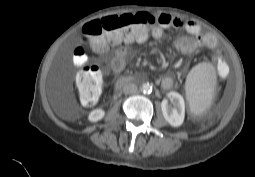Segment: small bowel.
Here are the masks:
<instances>
[{"label": "small bowel", "instance_id": "small-bowel-1", "mask_svg": "<svg viewBox=\"0 0 255 177\" xmlns=\"http://www.w3.org/2000/svg\"><path fill=\"white\" fill-rule=\"evenodd\" d=\"M162 17L166 21L165 27L171 26L176 29L184 30L192 35V37H181L175 41L174 46L179 52L190 54L203 48H214L216 46V38L211 34H204L201 26L195 21L173 17L168 14H162ZM147 38L148 34L137 40V42H144ZM97 50L104 51L106 49ZM128 52L127 45H121L115 49L114 56L110 62V68L114 73H120L125 68ZM217 69L219 73H222L224 67L222 64L218 63ZM161 87L164 90L171 89L173 87L172 78L169 76L164 77L161 81Z\"/></svg>", "mask_w": 255, "mask_h": 177}]
</instances>
